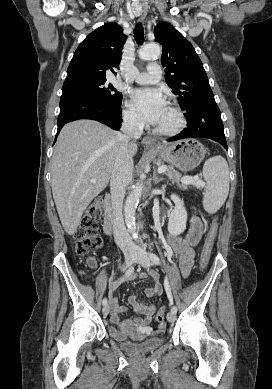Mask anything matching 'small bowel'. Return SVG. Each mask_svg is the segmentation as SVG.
Segmentation results:
<instances>
[{
	"label": "small bowel",
	"instance_id": "obj_1",
	"mask_svg": "<svg viewBox=\"0 0 272 389\" xmlns=\"http://www.w3.org/2000/svg\"><path fill=\"white\" fill-rule=\"evenodd\" d=\"M203 233V224L198 216H193L190 220L189 229L184 237H176L169 235L168 242L170 251L174 252L179 261L180 272L183 277H187L193 266L195 251L194 247L200 242ZM90 267H96L94 259H88ZM150 275L154 279V284L146 291L148 297H156L161 295L163 286L158 272L150 271L147 273H140L138 278L146 279ZM116 284L114 285V287ZM129 303L134 310L141 315V317L134 318L128 322H123L121 316L127 312L125 306L117 303L115 297L110 295V305L112 309L111 319L114 323L123 326L122 331L111 328L110 332L118 339L131 338L133 340H142L153 333L151 327L152 317L156 311V306L147 304L138 300L137 296L132 294L129 297ZM128 325L130 326H127Z\"/></svg>",
	"mask_w": 272,
	"mask_h": 389
}]
</instances>
